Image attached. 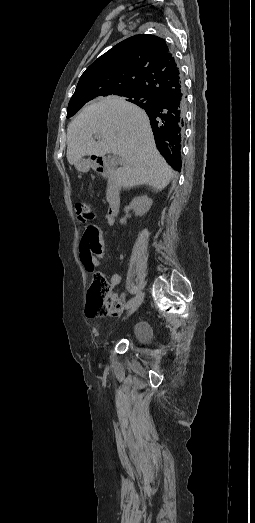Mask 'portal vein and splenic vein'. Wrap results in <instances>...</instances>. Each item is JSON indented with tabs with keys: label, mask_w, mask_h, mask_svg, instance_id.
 Segmentation results:
<instances>
[{
	"label": "portal vein and splenic vein",
	"mask_w": 255,
	"mask_h": 523,
	"mask_svg": "<svg viewBox=\"0 0 255 523\" xmlns=\"http://www.w3.org/2000/svg\"><path fill=\"white\" fill-rule=\"evenodd\" d=\"M116 156H117V154H116ZM119 162H122V160H119ZM118 167H121V164H118Z\"/></svg>",
	"instance_id": "18ae733b"
}]
</instances>
